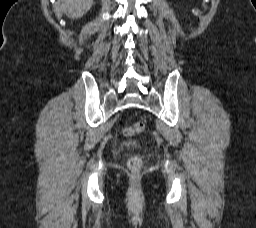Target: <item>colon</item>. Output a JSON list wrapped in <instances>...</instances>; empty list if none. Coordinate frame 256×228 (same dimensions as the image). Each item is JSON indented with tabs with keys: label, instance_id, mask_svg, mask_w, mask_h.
Returning a JSON list of instances; mask_svg holds the SVG:
<instances>
[{
	"label": "colon",
	"instance_id": "obj_1",
	"mask_svg": "<svg viewBox=\"0 0 256 228\" xmlns=\"http://www.w3.org/2000/svg\"><path fill=\"white\" fill-rule=\"evenodd\" d=\"M145 129V125L143 122H136L134 124H132L131 126L125 127L123 129V133L126 136H134L137 134H141ZM143 164V159L141 156H132L129 160H128V168L132 171V172H138Z\"/></svg>",
	"mask_w": 256,
	"mask_h": 228
}]
</instances>
